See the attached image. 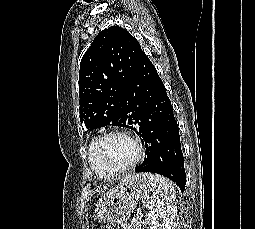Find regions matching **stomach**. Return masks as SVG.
Returning <instances> with one entry per match:
<instances>
[{"label": "stomach", "instance_id": "obj_1", "mask_svg": "<svg viewBox=\"0 0 255 229\" xmlns=\"http://www.w3.org/2000/svg\"><path fill=\"white\" fill-rule=\"evenodd\" d=\"M155 188L156 182L150 173L125 176L118 184L115 193L108 197L97 211V221L106 223L110 227L127 222L138 201L149 198Z\"/></svg>", "mask_w": 255, "mask_h": 229}]
</instances>
